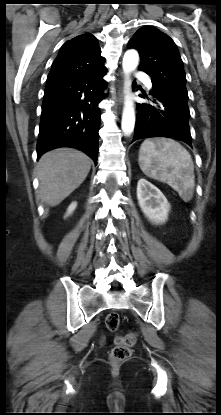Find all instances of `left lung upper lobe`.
Returning a JSON list of instances; mask_svg holds the SVG:
<instances>
[{"mask_svg":"<svg viewBox=\"0 0 221 415\" xmlns=\"http://www.w3.org/2000/svg\"><path fill=\"white\" fill-rule=\"evenodd\" d=\"M139 51V70L151 77L152 90L178 93L188 97L184 66L173 40L155 27L140 28L128 43Z\"/></svg>","mask_w":221,"mask_h":415,"instance_id":"5c2ea615","label":"left lung upper lobe"}]
</instances>
